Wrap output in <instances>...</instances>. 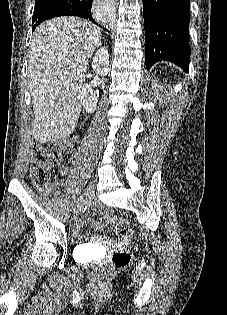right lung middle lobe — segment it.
Here are the masks:
<instances>
[{
  "mask_svg": "<svg viewBox=\"0 0 227 315\" xmlns=\"http://www.w3.org/2000/svg\"><path fill=\"white\" fill-rule=\"evenodd\" d=\"M74 0H35L32 16L33 30L43 21L57 17L59 9H63L73 3Z\"/></svg>",
  "mask_w": 227,
  "mask_h": 315,
  "instance_id": "obj_1",
  "label": "right lung middle lobe"
}]
</instances>
